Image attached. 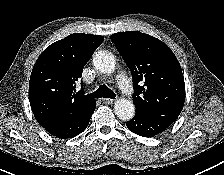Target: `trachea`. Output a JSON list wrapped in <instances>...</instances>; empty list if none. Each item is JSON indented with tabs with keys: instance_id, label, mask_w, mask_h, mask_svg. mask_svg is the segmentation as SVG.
<instances>
[{
	"instance_id": "trachea-1",
	"label": "trachea",
	"mask_w": 224,
	"mask_h": 175,
	"mask_svg": "<svg viewBox=\"0 0 224 175\" xmlns=\"http://www.w3.org/2000/svg\"><path fill=\"white\" fill-rule=\"evenodd\" d=\"M89 96L93 98H115L116 95L114 94L113 91L108 89L105 85H101L95 92L90 93Z\"/></svg>"
}]
</instances>
